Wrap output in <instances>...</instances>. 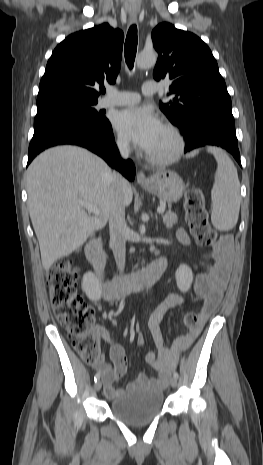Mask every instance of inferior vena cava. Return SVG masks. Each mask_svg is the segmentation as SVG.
Returning <instances> with one entry per match:
<instances>
[{"mask_svg":"<svg viewBox=\"0 0 263 465\" xmlns=\"http://www.w3.org/2000/svg\"><path fill=\"white\" fill-rule=\"evenodd\" d=\"M118 148L121 156L126 159L129 155V145L126 141L119 142ZM128 181L120 174L113 175L112 208L109 217L110 246L118 267L122 273L125 268L126 259V232L125 205L123 201V189Z\"/></svg>","mask_w":263,"mask_h":465,"instance_id":"inferior-vena-cava-1","label":"inferior vena cava"}]
</instances>
